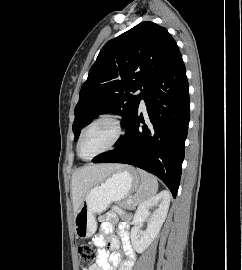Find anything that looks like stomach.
Instances as JSON below:
<instances>
[{"instance_id": "stomach-1", "label": "stomach", "mask_w": 242, "mask_h": 270, "mask_svg": "<svg viewBox=\"0 0 242 270\" xmlns=\"http://www.w3.org/2000/svg\"><path fill=\"white\" fill-rule=\"evenodd\" d=\"M140 185L138 172L129 166L113 172L101 183L93 186L85 195L81 207L74 216V230L78 238L91 237L97 228L96 214L104 212L115 201L126 199Z\"/></svg>"}]
</instances>
